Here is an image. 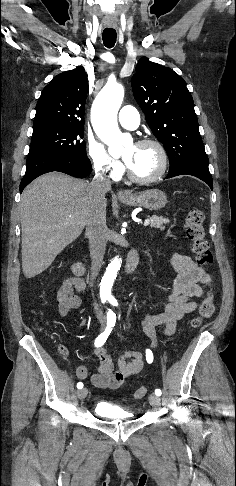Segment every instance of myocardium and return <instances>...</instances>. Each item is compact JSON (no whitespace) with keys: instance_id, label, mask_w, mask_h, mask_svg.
Instances as JSON below:
<instances>
[{"instance_id":"obj_1","label":"myocardium","mask_w":236,"mask_h":486,"mask_svg":"<svg viewBox=\"0 0 236 486\" xmlns=\"http://www.w3.org/2000/svg\"><path fill=\"white\" fill-rule=\"evenodd\" d=\"M146 145H152L158 150L159 155H160V167L153 175H151L149 177H139L131 171V169L129 168V166L127 164V176H128V178L132 182H135V183H138V184H150V183H153V182L159 180L165 174L167 167H168V161H169L168 153H167L164 145L160 141L153 139V138L142 139V140H139L136 143V146H146Z\"/></svg>"}]
</instances>
